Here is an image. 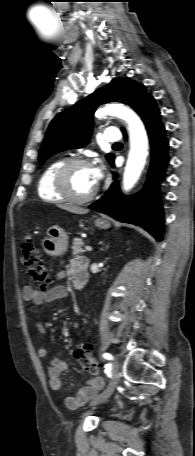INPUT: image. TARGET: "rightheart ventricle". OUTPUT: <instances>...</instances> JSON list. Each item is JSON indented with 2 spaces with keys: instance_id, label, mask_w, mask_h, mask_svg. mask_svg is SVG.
<instances>
[{
  "instance_id": "right-heart-ventricle-1",
  "label": "right heart ventricle",
  "mask_w": 195,
  "mask_h": 456,
  "mask_svg": "<svg viewBox=\"0 0 195 456\" xmlns=\"http://www.w3.org/2000/svg\"><path fill=\"white\" fill-rule=\"evenodd\" d=\"M64 162L63 159H57L49 163L41 172L38 183V195L46 201L60 202L64 198L56 191L53 179L58 167Z\"/></svg>"
}]
</instances>
